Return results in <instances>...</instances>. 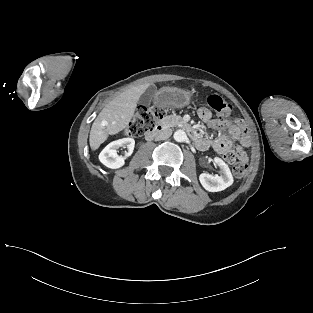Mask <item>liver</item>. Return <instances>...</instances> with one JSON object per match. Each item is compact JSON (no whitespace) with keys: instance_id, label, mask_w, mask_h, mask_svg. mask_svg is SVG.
<instances>
[{"instance_id":"1","label":"liver","mask_w":313,"mask_h":313,"mask_svg":"<svg viewBox=\"0 0 313 313\" xmlns=\"http://www.w3.org/2000/svg\"><path fill=\"white\" fill-rule=\"evenodd\" d=\"M150 86L149 83L132 87L112 99L99 113L92 124L89 143L96 150L108 138L125 129L137 107L141 95Z\"/></svg>"}]
</instances>
